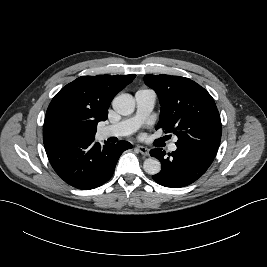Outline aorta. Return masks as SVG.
I'll return each instance as SVG.
<instances>
[{"instance_id": "1", "label": "aorta", "mask_w": 267, "mask_h": 267, "mask_svg": "<svg viewBox=\"0 0 267 267\" xmlns=\"http://www.w3.org/2000/svg\"><path fill=\"white\" fill-rule=\"evenodd\" d=\"M113 109L120 115L127 116L134 112L135 101L131 95H119L112 102ZM143 169L150 175L158 174L161 171V163L156 158H147L144 161Z\"/></svg>"}]
</instances>
